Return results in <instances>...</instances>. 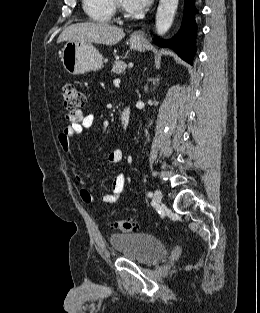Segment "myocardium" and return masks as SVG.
Masks as SVG:
<instances>
[{
  "label": "myocardium",
  "instance_id": "myocardium-1",
  "mask_svg": "<svg viewBox=\"0 0 260 313\" xmlns=\"http://www.w3.org/2000/svg\"><path fill=\"white\" fill-rule=\"evenodd\" d=\"M112 3L114 5V8L121 11L124 9L120 0H112Z\"/></svg>",
  "mask_w": 260,
  "mask_h": 313
}]
</instances>
